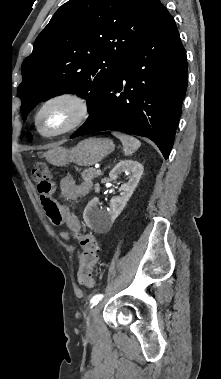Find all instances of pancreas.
<instances>
[{"label":"pancreas","mask_w":221,"mask_h":379,"mask_svg":"<svg viewBox=\"0 0 221 379\" xmlns=\"http://www.w3.org/2000/svg\"><path fill=\"white\" fill-rule=\"evenodd\" d=\"M99 175L100 174L93 168L86 169L81 173L84 180H92Z\"/></svg>","instance_id":"cf45deb5"}]
</instances>
